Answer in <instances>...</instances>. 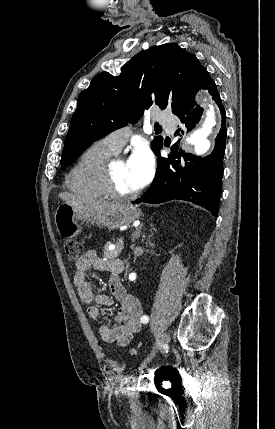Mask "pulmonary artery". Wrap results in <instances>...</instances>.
<instances>
[{
  "label": "pulmonary artery",
  "mask_w": 275,
  "mask_h": 429,
  "mask_svg": "<svg viewBox=\"0 0 275 429\" xmlns=\"http://www.w3.org/2000/svg\"><path fill=\"white\" fill-rule=\"evenodd\" d=\"M159 123L169 131L173 132L176 126V119L172 116L161 115L159 116ZM129 135V130H118L104 137L101 142L112 151L118 152L125 144Z\"/></svg>",
  "instance_id": "e3ab8cb5"
}]
</instances>
